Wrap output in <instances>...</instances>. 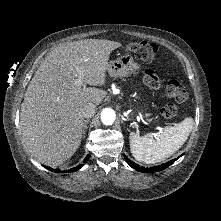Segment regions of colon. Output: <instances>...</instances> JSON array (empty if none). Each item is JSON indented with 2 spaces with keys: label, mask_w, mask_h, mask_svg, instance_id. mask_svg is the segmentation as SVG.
Instances as JSON below:
<instances>
[{
  "label": "colon",
  "mask_w": 221,
  "mask_h": 221,
  "mask_svg": "<svg viewBox=\"0 0 221 221\" xmlns=\"http://www.w3.org/2000/svg\"><path fill=\"white\" fill-rule=\"evenodd\" d=\"M125 50L131 52L136 58L151 63L157 58V47L148 42L129 43ZM146 82L155 88L159 87L158 76L154 70H147L145 73ZM166 95L176 103H183L187 100L188 94L177 79H170L165 85ZM162 116L166 119L173 118L177 113V108L173 103L165 105L161 110Z\"/></svg>",
  "instance_id": "1"
}]
</instances>
